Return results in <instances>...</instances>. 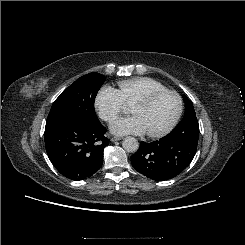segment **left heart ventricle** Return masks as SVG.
<instances>
[{
    "instance_id": "left-heart-ventricle-1",
    "label": "left heart ventricle",
    "mask_w": 245,
    "mask_h": 245,
    "mask_svg": "<svg viewBox=\"0 0 245 245\" xmlns=\"http://www.w3.org/2000/svg\"><path fill=\"white\" fill-rule=\"evenodd\" d=\"M177 108L176 96L165 94L150 104H132L130 111L140 118L146 132H156L165 128L172 121Z\"/></svg>"
}]
</instances>
